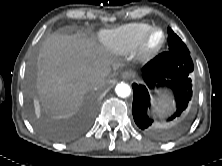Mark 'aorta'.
I'll list each match as a JSON object with an SVG mask.
<instances>
[{"label":"aorta","mask_w":222,"mask_h":166,"mask_svg":"<svg viewBox=\"0 0 222 166\" xmlns=\"http://www.w3.org/2000/svg\"><path fill=\"white\" fill-rule=\"evenodd\" d=\"M115 92L119 97L126 98L131 94V88L128 84L121 82L117 84Z\"/></svg>","instance_id":"1"}]
</instances>
